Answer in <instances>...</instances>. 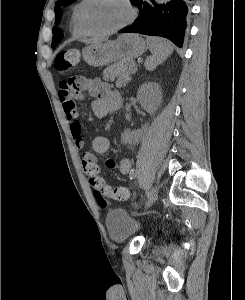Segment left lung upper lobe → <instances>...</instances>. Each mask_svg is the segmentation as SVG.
<instances>
[{
  "instance_id": "1",
  "label": "left lung upper lobe",
  "mask_w": 245,
  "mask_h": 300,
  "mask_svg": "<svg viewBox=\"0 0 245 300\" xmlns=\"http://www.w3.org/2000/svg\"><path fill=\"white\" fill-rule=\"evenodd\" d=\"M75 1L76 0H57L55 8H54L55 15H56V21H55L56 25L59 24L62 14H63L61 7L68 6ZM133 1L134 0H131L132 3H133ZM62 37H63V32L61 31V29L58 27H54L53 28L52 48H54L58 44V42L62 39Z\"/></svg>"
}]
</instances>
